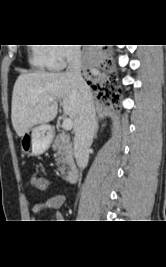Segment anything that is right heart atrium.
I'll list each match as a JSON object with an SVG mask.
<instances>
[{
	"instance_id": "right-heart-atrium-1",
	"label": "right heart atrium",
	"mask_w": 166,
	"mask_h": 267,
	"mask_svg": "<svg viewBox=\"0 0 166 267\" xmlns=\"http://www.w3.org/2000/svg\"><path fill=\"white\" fill-rule=\"evenodd\" d=\"M49 56L52 69L62 68L67 61L77 57V51L72 46L52 45L49 47Z\"/></svg>"
}]
</instances>
